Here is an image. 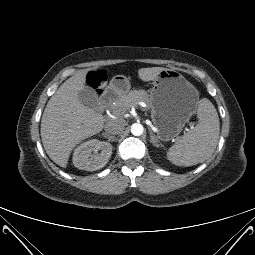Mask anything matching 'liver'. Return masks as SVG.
Wrapping results in <instances>:
<instances>
[{
    "instance_id": "1",
    "label": "liver",
    "mask_w": 255,
    "mask_h": 255,
    "mask_svg": "<svg viewBox=\"0 0 255 255\" xmlns=\"http://www.w3.org/2000/svg\"><path fill=\"white\" fill-rule=\"evenodd\" d=\"M162 67L141 68L142 81L154 80ZM87 71L67 79L49 99L41 119V139L50 159L66 168L71 151L81 141L98 134L105 118L82 104L79 93L86 88Z\"/></svg>"
}]
</instances>
